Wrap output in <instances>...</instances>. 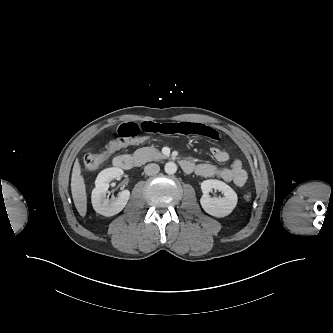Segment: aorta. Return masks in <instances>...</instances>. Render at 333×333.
I'll use <instances>...</instances> for the list:
<instances>
[{
    "mask_svg": "<svg viewBox=\"0 0 333 333\" xmlns=\"http://www.w3.org/2000/svg\"><path fill=\"white\" fill-rule=\"evenodd\" d=\"M164 170L167 174H175L177 171V165L174 162H167L164 166Z\"/></svg>",
    "mask_w": 333,
    "mask_h": 333,
    "instance_id": "762f6f07",
    "label": "aorta"
}]
</instances>
